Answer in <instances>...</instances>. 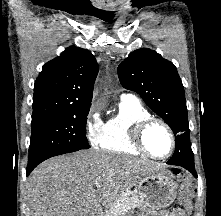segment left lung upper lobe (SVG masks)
Listing matches in <instances>:
<instances>
[{
  "instance_id": "5c2ea615",
  "label": "left lung upper lobe",
  "mask_w": 221,
  "mask_h": 216,
  "mask_svg": "<svg viewBox=\"0 0 221 216\" xmlns=\"http://www.w3.org/2000/svg\"><path fill=\"white\" fill-rule=\"evenodd\" d=\"M118 76L124 88L137 92L170 126L176 146L191 150L184 87L173 63L143 48L119 65Z\"/></svg>"
}]
</instances>
